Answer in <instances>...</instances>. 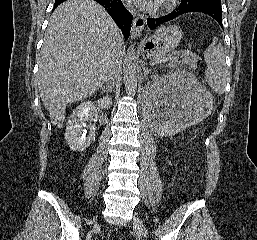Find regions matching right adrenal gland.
<instances>
[{
    "label": "right adrenal gland",
    "mask_w": 257,
    "mask_h": 240,
    "mask_svg": "<svg viewBox=\"0 0 257 240\" xmlns=\"http://www.w3.org/2000/svg\"><path fill=\"white\" fill-rule=\"evenodd\" d=\"M113 86H114V85H111V86H103V87L101 88L102 93L108 94V92H111V91H112Z\"/></svg>",
    "instance_id": "right-adrenal-gland-1"
}]
</instances>
